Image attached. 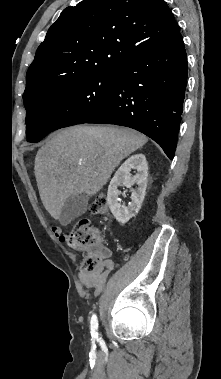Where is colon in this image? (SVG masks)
<instances>
[{"instance_id":"1","label":"colon","mask_w":221,"mask_h":379,"mask_svg":"<svg viewBox=\"0 0 221 379\" xmlns=\"http://www.w3.org/2000/svg\"><path fill=\"white\" fill-rule=\"evenodd\" d=\"M90 212L99 216L108 214L109 207L105 195L96 196L90 205ZM53 232L61 241L67 242L72 249L87 253L81 264L84 271L94 272L100 267L103 231L99 226L94 225L88 219H82L77 222L69 234H63L58 227H55Z\"/></svg>"}]
</instances>
